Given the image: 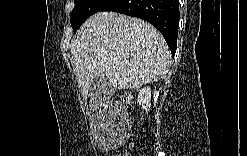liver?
Segmentation results:
<instances>
[{
  "mask_svg": "<svg viewBox=\"0 0 247 156\" xmlns=\"http://www.w3.org/2000/svg\"><path fill=\"white\" fill-rule=\"evenodd\" d=\"M71 54L79 86L86 93L99 77L114 89H138L162 78L171 64L159 31L141 19L116 12L91 16L74 36Z\"/></svg>",
  "mask_w": 247,
  "mask_h": 156,
  "instance_id": "1",
  "label": "liver"
}]
</instances>
